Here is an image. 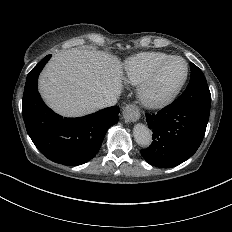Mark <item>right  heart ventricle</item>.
I'll return each mask as SVG.
<instances>
[{"label": "right heart ventricle", "instance_id": "e07e8e85", "mask_svg": "<svg viewBox=\"0 0 232 232\" xmlns=\"http://www.w3.org/2000/svg\"><path fill=\"white\" fill-rule=\"evenodd\" d=\"M171 57L169 54L156 51L140 52L127 57L120 66V81L136 87L154 68Z\"/></svg>", "mask_w": 232, "mask_h": 232}]
</instances>
